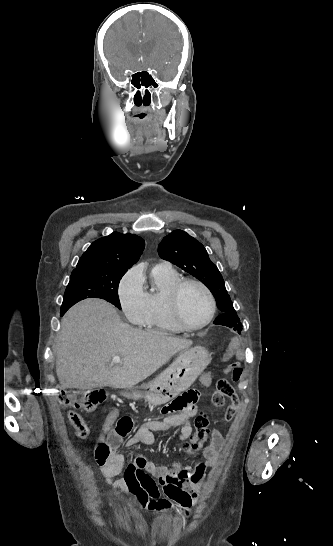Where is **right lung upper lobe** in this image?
<instances>
[{
  "label": "right lung upper lobe",
  "mask_w": 333,
  "mask_h": 546,
  "mask_svg": "<svg viewBox=\"0 0 333 546\" xmlns=\"http://www.w3.org/2000/svg\"><path fill=\"white\" fill-rule=\"evenodd\" d=\"M145 241L134 234L113 232L111 235L94 241L78 261L72 275L97 267L115 270H128L142 254Z\"/></svg>",
  "instance_id": "1"
}]
</instances>
